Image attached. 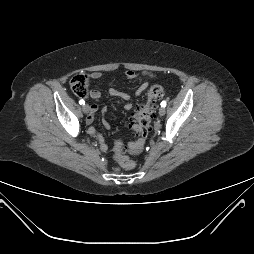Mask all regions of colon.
Here are the masks:
<instances>
[{
  "label": "colon",
  "instance_id": "obj_1",
  "mask_svg": "<svg viewBox=\"0 0 254 254\" xmlns=\"http://www.w3.org/2000/svg\"><path fill=\"white\" fill-rule=\"evenodd\" d=\"M70 88L76 96L86 97L88 93L87 77L83 75L74 76L70 80ZM163 95L164 89L159 85L152 86L148 90L146 102L136 108L129 122V128L134 134L141 137H145L148 134L155 115L156 101ZM113 154L120 169L131 170L135 167L134 162L128 157L122 144H115Z\"/></svg>",
  "mask_w": 254,
  "mask_h": 254
}]
</instances>
